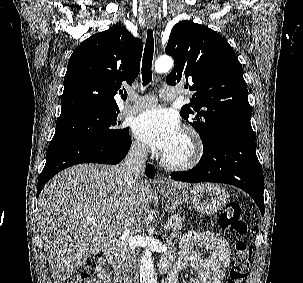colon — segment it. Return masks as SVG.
<instances>
[{"label": "colon", "instance_id": "colon-1", "mask_svg": "<svg viewBox=\"0 0 303 283\" xmlns=\"http://www.w3.org/2000/svg\"><path fill=\"white\" fill-rule=\"evenodd\" d=\"M220 226L238 235H244L247 225L242 218L241 209L237 202L229 201L225 204L219 218ZM252 250L244 241H238L235 246L233 264L229 272L227 283H243L246 277ZM95 266L86 264L78 271L75 277L69 279L67 283H91Z\"/></svg>", "mask_w": 303, "mask_h": 283}]
</instances>
